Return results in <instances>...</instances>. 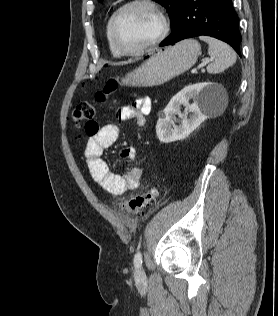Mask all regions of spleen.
<instances>
[{"label":"spleen","instance_id":"obj_1","mask_svg":"<svg viewBox=\"0 0 278 316\" xmlns=\"http://www.w3.org/2000/svg\"><path fill=\"white\" fill-rule=\"evenodd\" d=\"M200 40L208 43V54L214 61L207 66L209 73H219L236 62V54L226 43L209 36H200Z\"/></svg>","mask_w":278,"mask_h":316}]
</instances>
